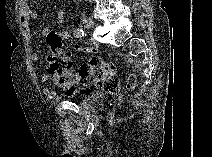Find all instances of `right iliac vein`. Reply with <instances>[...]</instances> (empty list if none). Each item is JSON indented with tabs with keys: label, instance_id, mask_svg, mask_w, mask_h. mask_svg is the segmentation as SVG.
<instances>
[{
	"label": "right iliac vein",
	"instance_id": "1",
	"mask_svg": "<svg viewBox=\"0 0 212 157\" xmlns=\"http://www.w3.org/2000/svg\"><path fill=\"white\" fill-rule=\"evenodd\" d=\"M82 22H83L84 26L88 29H91L95 26V22L93 21V19L86 15L82 16Z\"/></svg>",
	"mask_w": 212,
	"mask_h": 157
}]
</instances>
